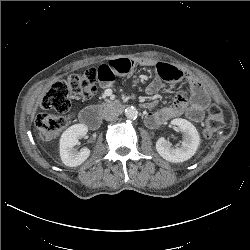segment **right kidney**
Returning a JSON list of instances; mask_svg holds the SVG:
<instances>
[{
	"mask_svg": "<svg viewBox=\"0 0 250 250\" xmlns=\"http://www.w3.org/2000/svg\"><path fill=\"white\" fill-rule=\"evenodd\" d=\"M88 127L84 124H75L69 127L60 138V157L62 162L69 167L81 165L90 155L88 148L75 152L73 147L78 144V138L87 134Z\"/></svg>",
	"mask_w": 250,
	"mask_h": 250,
	"instance_id": "1",
	"label": "right kidney"
}]
</instances>
